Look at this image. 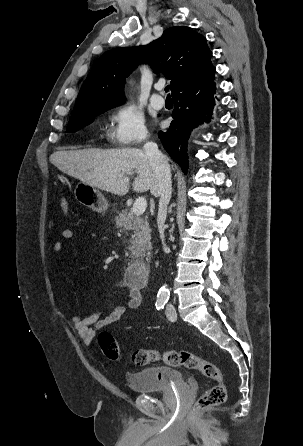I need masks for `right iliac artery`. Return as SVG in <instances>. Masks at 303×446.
I'll use <instances>...</instances> for the list:
<instances>
[{"label": "right iliac artery", "mask_w": 303, "mask_h": 446, "mask_svg": "<svg viewBox=\"0 0 303 446\" xmlns=\"http://www.w3.org/2000/svg\"><path fill=\"white\" fill-rule=\"evenodd\" d=\"M166 300L165 299H158L157 301H156V308H157V310H160V309H163L164 308V305L166 304Z\"/></svg>", "instance_id": "1"}]
</instances>
